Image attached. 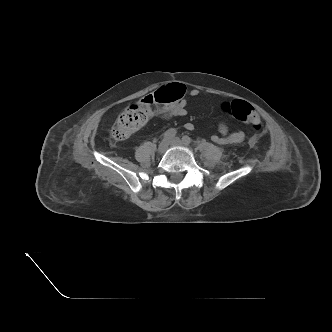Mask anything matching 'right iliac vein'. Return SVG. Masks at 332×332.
Here are the masks:
<instances>
[{"label":"right iliac vein","mask_w":332,"mask_h":332,"mask_svg":"<svg viewBox=\"0 0 332 332\" xmlns=\"http://www.w3.org/2000/svg\"><path fill=\"white\" fill-rule=\"evenodd\" d=\"M168 145H169V140L163 139L158 146V153L163 154L167 150Z\"/></svg>","instance_id":"obj_1"}]
</instances>
